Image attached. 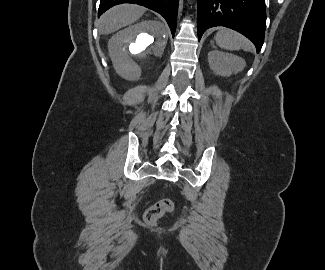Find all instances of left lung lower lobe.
Masks as SVG:
<instances>
[{
    "label": "left lung lower lobe",
    "mask_w": 325,
    "mask_h": 270,
    "mask_svg": "<svg viewBox=\"0 0 325 270\" xmlns=\"http://www.w3.org/2000/svg\"><path fill=\"white\" fill-rule=\"evenodd\" d=\"M198 39L211 27L224 26L250 39L261 50L266 26L265 0H197Z\"/></svg>",
    "instance_id": "left-lung-lower-lobe-1"
}]
</instances>
